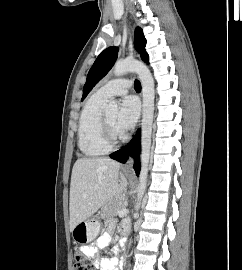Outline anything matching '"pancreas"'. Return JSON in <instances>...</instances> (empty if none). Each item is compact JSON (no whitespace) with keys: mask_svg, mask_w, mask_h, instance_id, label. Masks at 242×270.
<instances>
[{"mask_svg":"<svg viewBox=\"0 0 242 270\" xmlns=\"http://www.w3.org/2000/svg\"><path fill=\"white\" fill-rule=\"evenodd\" d=\"M126 205L125 197L122 196L118 200H114L108 204H106L103 208L104 215L107 216H114L117 214V211L124 208Z\"/></svg>","mask_w":242,"mask_h":270,"instance_id":"obj_1","label":"pancreas"}]
</instances>
